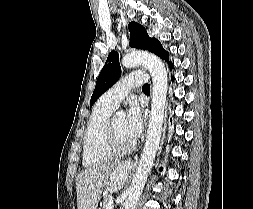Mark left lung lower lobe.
<instances>
[{
  "label": "left lung lower lobe",
  "mask_w": 253,
  "mask_h": 209,
  "mask_svg": "<svg viewBox=\"0 0 253 209\" xmlns=\"http://www.w3.org/2000/svg\"><path fill=\"white\" fill-rule=\"evenodd\" d=\"M169 67H170V69H172V68H173V64L170 63V64H169ZM172 81H174V77H172Z\"/></svg>",
  "instance_id": "obj_1"
}]
</instances>
